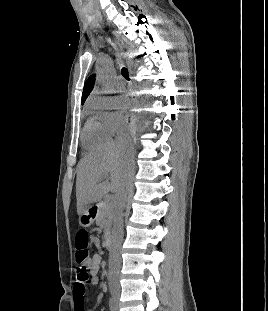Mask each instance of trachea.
<instances>
[{"label":"trachea","instance_id":"obj_1","mask_svg":"<svg viewBox=\"0 0 268 311\" xmlns=\"http://www.w3.org/2000/svg\"><path fill=\"white\" fill-rule=\"evenodd\" d=\"M121 73H122V76H123L126 80H129V73H128L127 68H125V67L122 68Z\"/></svg>","mask_w":268,"mask_h":311}]
</instances>
